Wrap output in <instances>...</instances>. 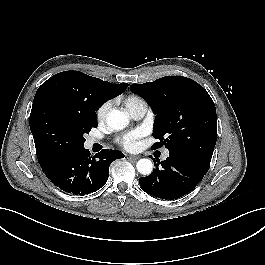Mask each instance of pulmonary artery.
<instances>
[{
	"instance_id": "obj_1",
	"label": "pulmonary artery",
	"mask_w": 265,
	"mask_h": 265,
	"mask_svg": "<svg viewBox=\"0 0 265 265\" xmlns=\"http://www.w3.org/2000/svg\"><path fill=\"white\" fill-rule=\"evenodd\" d=\"M147 111V105L146 104H143V105H140L138 107H136L132 112H131V115L134 119H141L143 118V116L145 115ZM98 142L97 139L95 138H91L89 141H88V145H93L94 143ZM169 156V152L168 151H165L162 155V159L165 160L167 157Z\"/></svg>"
}]
</instances>
